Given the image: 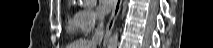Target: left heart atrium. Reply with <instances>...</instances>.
I'll list each match as a JSON object with an SVG mask.
<instances>
[{"label":"left heart atrium","mask_w":213,"mask_h":48,"mask_svg":"<svg viewBox=\"0 0 213 48\" xmlns=\"http://www.w3.org/2000/svg\"><path fill=\"white\" fill-rule=\"evenodd\" d=\"M114 4V0H101L99 2V11L101 12V14H107L112 10Z\"/></svg>","instance_id":"1"}]
</instances>
